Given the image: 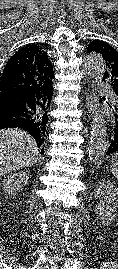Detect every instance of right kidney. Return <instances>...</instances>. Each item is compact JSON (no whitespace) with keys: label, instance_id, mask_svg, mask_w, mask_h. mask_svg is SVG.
<instances>
[{"label":"right kidney","instance_id":"right-kidney-1","mask_svg":"<svg viewBox=\"0 0 118 269\" xmlns=\"http://www.w3.org/2000/svg\"><path fill=\"white\" fill-rule=\"evenodd\" d=\"M29 178V173L25 171L7 176L2 182L5 195L15 196L27 184Z\"/></svg>","mask_w":118,"mask_h":269}]
</instances>
